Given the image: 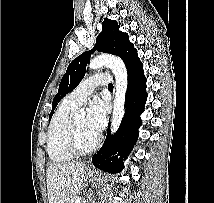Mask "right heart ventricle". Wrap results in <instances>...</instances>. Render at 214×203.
<instances>
[{"mask_svg":"<svg viewBox=\"0 0 214 203\" xmlns=\"http://www.w3.org/2000/svg\"><path fill=\"white\" fill-rule=\"evenodd\" d=\"M77 107L66 96L52 117L47 135V153L54 163H67L75 157L67 148V132L71 114Z\"/></svg>","mask_w":214,"mask_h":203,"instance_id":"obj_1","label":"right heart ventricle"}]
</instances>
